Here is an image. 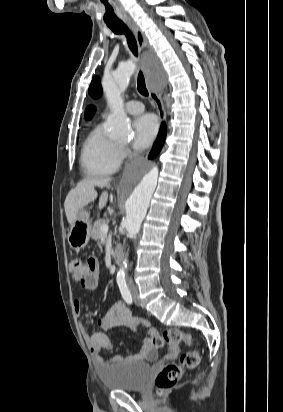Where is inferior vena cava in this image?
<instances>
[{"instance_id": "1", "label": "inferior vena cava", "mask_w": 283, "mask_h": 412, "mask_svg": "<svg viewBox=\"0 0 283 412\" xmlns=\"http://www.w3.org/2000/svg\"><path fill=\"white\" fill-rule=\"evenodd\" d=\"M131 284H132V280L130 279V280H129V285H131Z\"/></svg>"}]
</instances>
